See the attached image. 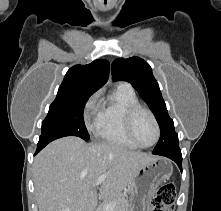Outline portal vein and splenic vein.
I'll return each mask as SVG.
<instances>
[{"mask_svg": "<svg viewBox=\"0 0 221 211\" xmlns=\"http://www.w3.org/2000/svg\"><path fill=\"white\" fill-rule=\"evenodd\" d=\"M106 179V176H100L98 177L97 181H96V186H98L99 184H102ZM104 210L105 211H113V203H108L104 206Z\"/></svg>", "mask_w": 221, "mask_h": 211, "instance_id": "1", "label": "portal vein and splenic vein"}]
</instances>
